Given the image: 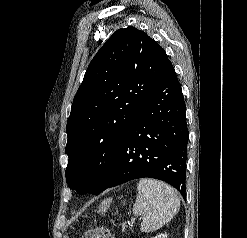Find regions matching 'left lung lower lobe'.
<instances>
[{
    "label": "left lung lower lobe",
    "mask_w": 247,
    "mask_h": 238,
    "mask_svg": "<svg viewBox=\"0 0 247 238\" xmlns=\"http://www.w3.org/2000/svg\"><path fill=\"white\" fill-rule=\"evenodd\" d=\"M180 83L168 59L117 156L103 191L138 178L167 182L185 195L188 129Z\"/></svg>",
    "instance_id": "obj_1"
}]
</instances>
